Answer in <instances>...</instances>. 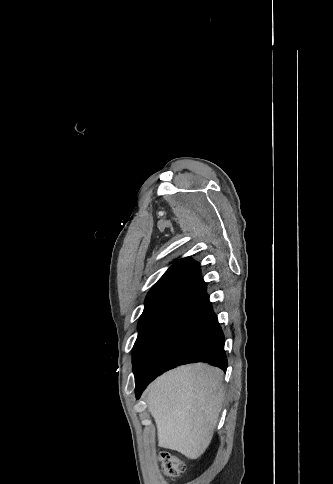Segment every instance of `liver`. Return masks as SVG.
<instances>
[{
  "label": "liver",
  "instance_id": "obj_1",
  "mask_svg": "<svg viewBox=\"0 0 333 484\" xmlns=\"http://www.w3.org/2000/svg\"><path fill=\"white\" fill-rule=\"evenodd\" d=\"M222 384L223 371L202 363L179 367L151 383L145 395L159 446L189 459L199 458L218 422Z\"/></svg>",
  "mask_w": 333,
  "mask_h": 484
}]
</instances>
